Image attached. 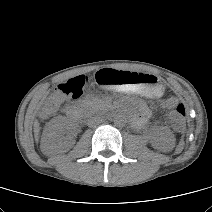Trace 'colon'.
Segmentation results:
<instances>
[{"label":"colon","instance_id":"colon-1","mask_svg":"<svg viewBox=\"0 0 212 212\" xmlns=\"http://www.w3.org/2000/svg\"><path fill=\"white\" fill-rule=\"evenodd\" d=\"M91 83L92 78L90 76L79 75L58 84L43 108L44 115H49L54 112L64 99L80 97ZM162 104L169 109L170 118L177 126H180L187 113L185 104L180 102L176 97L166 98L162 101Z\"/></svg>","mask_w":212,"mask_h":212}]
</instances>
